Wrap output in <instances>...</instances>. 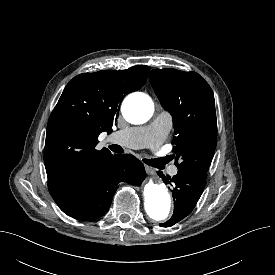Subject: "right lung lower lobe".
I'll list each match as a JSON object with an SVG mask.
<instances>
[{
	"mask_svg": "<svg viewBox=\"0 0 275 275\" xmlns=\"http://www.w3.org/2000/svg\"><path fill=\"white\" fill-rule=\"evenodd\" d=\"M145 176L143 164L133 155H109L80 175L56 203L72 218L96 219L109 210L119 182L139 186Z\"/></svg>",
	"mask_w": 275,
	"mask_h": 275,
	"instance_id": "right-lung-lower-lobe-1",
	"label": "right lung lower lobe"
}]
</instances>
